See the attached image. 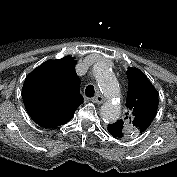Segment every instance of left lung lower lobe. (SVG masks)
I'll return each instance as SVG.
<instances>
[{
	"label": "left lung lower lobe",
	"instance_id": "obj_1",
	"mask_svg": "<svg viewBox=\"0 0 177 177\" xmlns=\"http://www.w3.org/2000/svg\"><path fill=\"white\" fill-rule=\"evenodd\" d=\"M108 132L114 138H121L123 133L118 128H116L113 124L108 125Z\"/></svg>",
	"mask_w": 177,
	"mask_h": 177
}]
</instances>
